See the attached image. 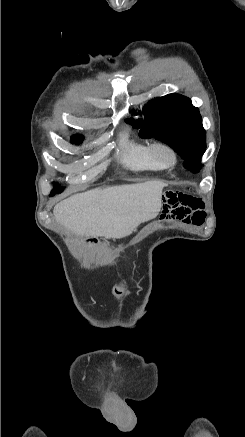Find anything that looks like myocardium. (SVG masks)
<instances>
[{"mask_svg":"<svg viewBox=\"0 0 245 437\" xmlns=\"http://www.w3.org/2000/svg\"><path fill=\"white\" fill-rule=\"evenodd\" d=\"M152 154L165 166H172L177 163L178 155L176 150L164 142H154L150 145Z\"/></svg>","mask_w":245,"mask_h":437,"instance_id":"obj_1","label":"myocardium"}]
</instances>
